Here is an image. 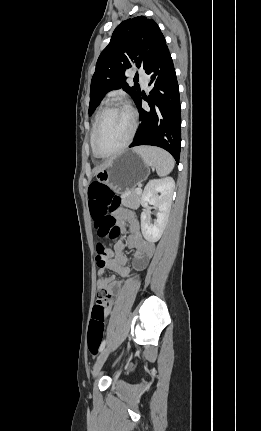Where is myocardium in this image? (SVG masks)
Returning <instances> with one entry per match:
<instances>
[{
  "label": "myocardium",
  "mask_w": 261,
  "mask_h": 431,
  "mask_svg": "<svg viewBox=\"0 0 261 431\" xmlns=\"http://www.w3.org/2000/svg\"><path fill=\"white\" fill-rule=\"evenodd\" d=\"M114 108H123V109H125L129 113L130 118H131V129H130V132H129V135H128L127 139L125 140V142L119 148H117L116 150H114V151H112L110 153H103V152H101V150L99 149V146H98V135H99L100 128L102 126V122H103V119H104L105 115L110 110H112ZM136 129H137V117H136V113H135V111L129 105H127L124 102H113V103L107 105L105 108H103L100 111L98 119H97V122H96L95 129H94V134H93V149H94L95 154L98 157H101V158H108V157H112L114 155L119 154L120 152H122L123 150H125L130 145V143L132 142V139H133V137L135 135Z\"/></svg>",
  "instance_id": "obj_1"
}]
</instances>
